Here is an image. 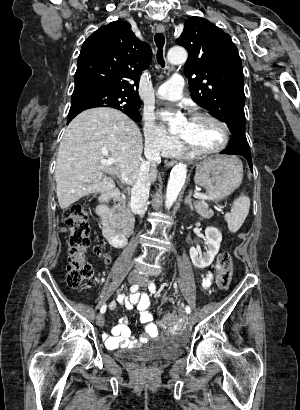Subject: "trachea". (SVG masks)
<instances>
[{"instance_id": "obj_1", "label": "trachea", "mask_w": 300, "mask_h": 410, "mask_svg": "<svg viewBox=\"0 0 300 410\" xmlns=\"http://www.w3.org/2000/svg\"><path fill=\"white\" fill-rule=\"evenodd\" d=\"M155 43L158 47V52H157V61L158 63L164 67L165 62L163 59V46L165 44V37L162 33H156L154 37Z\"/></svg>"}]
</instances>
